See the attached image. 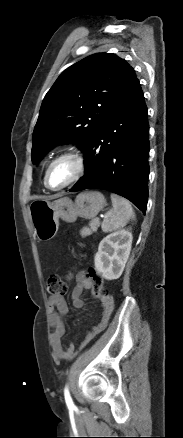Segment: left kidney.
<instances>
[{
  "label": "left kidney",
  "instance_id": "1",
  "mask_svg": "<svg viewBox=\"0 0 183 438\" xmlns=\"http://www.w3.org/2000/svg\"><path fill=\"white\" fill-rule=\"evenodd\" d=\"M132 233L128 230H119L107 235L100 242L95 255V267L107 280L118 279L129 258Z\"/></svg>",
  "mask_w": 183,
  "mask_h": 438
}]
</instances>
